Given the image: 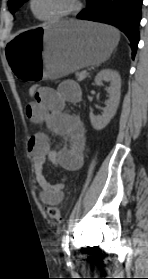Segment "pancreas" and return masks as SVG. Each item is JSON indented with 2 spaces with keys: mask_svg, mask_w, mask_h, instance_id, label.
<instances>
[{
  "mask_svg": "<svg viewBox=\"0 0 148 279\" xmlns=\"http://www.w3.org/2000/svg\"><path fill=\"white\" fill-rule=\"evenodd\" d=\"M81 73H82V72H77V73H76V77H77V80H78V81H82V80L85 78V77H83V78L81 77Z\"/></svg>",
  "mask_w": 148,
  "mask_h": 279,
  "instance_id": "obj_1",
  "label": "pancreas"
}]
</instances>
